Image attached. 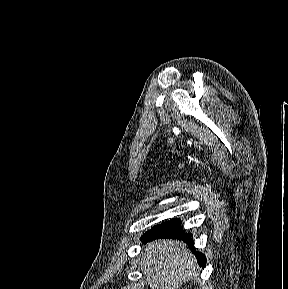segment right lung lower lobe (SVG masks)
I'll use <instances>...</instances> for the list:
<instances>
[{
	"label": "right lung lower lobe",
	"mask_w": 288,
	"mask_h": 289,
	"mask_svg": "<svg viewBox=\"0 0 288 289\" xmlns=\"http://www.w3.org/2000/svg\"><path fill=\"white\" fill-rule=\"evenodd\" d=\"M179 219H171L168 222L156 225L147 231L141 239L144 241L154 240L158 238H175L186 241L189 245H192L191 234H186L182 227ZM199 265L204 267L206 264V257L202 253H196Z\"/></svg>",
	"instance_id": "right-lung-lower-lobe-1"
}]
</instances>
